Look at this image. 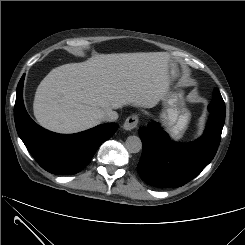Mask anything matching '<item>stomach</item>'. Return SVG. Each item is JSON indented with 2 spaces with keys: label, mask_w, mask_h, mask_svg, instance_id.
Returning a JSON list of instances; mask_svg holds the SVG:
<instances>
[{
  "label": "stomach",
  "mask_w": 245,
  "mask_h": 245,
  "mask_svg": "<svg viewBox=\"0 0 245 245\" xmlns=\"http://www.w3.org/2000/svg\"><path fill=\"white\" fill-rule=\"evenodd\" d=\"M175 67L171 64L169 71V80L175 75ZM167 109L162 117L165 124L169 127L171 135L175 139H179L187 128L190 119V113L184 107L181 93L168 94L164 98Z\"/></svg>",
  "instance_id": "1"
}]
</instances>
